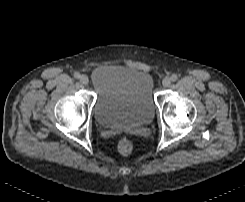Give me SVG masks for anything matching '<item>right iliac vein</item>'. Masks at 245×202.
<instances>
[{"label": "right iliac vein", "mask_w": 245, "mask_h": 202, "mask_svg": "<svg viewBox=\"0 0 245 202\" xmlns=\"http://www.w3.org/2000/svg\"><path fill=\"white\" fill-rule=\"evenodd\" d=\"M80 82H81L83 85H87L88 82H89L88 76L82 75V76L80 77Z\"/></svg>", "instance_id": "63e3f726"}]
</instances>
